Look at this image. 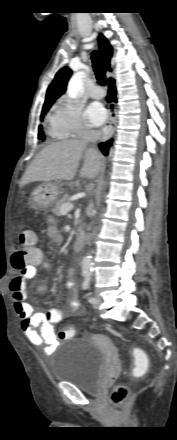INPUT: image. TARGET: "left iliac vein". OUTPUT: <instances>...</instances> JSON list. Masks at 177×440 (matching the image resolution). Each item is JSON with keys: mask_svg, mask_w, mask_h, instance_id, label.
I'll list each match as a JSON object with an SVG mask.
<instances>
[{"mask_svg": "<svg viewBox=\"0 0 177 440\" xmlns=\"http://www.w3.org/2000/svg\"><path fill=\"white\" fill-rule=\"evenodd\" d=\"M95 298H96V302L95 303H93V307L94 308H98L99 307V304L101 303V301H102V299L99 297V296H95Z\"/></svg>", "mask_w": 177, "mask_h": 440, "instance_id": "left-iliac-vein-1", "label": "left iliac vein"}]
</instances>
